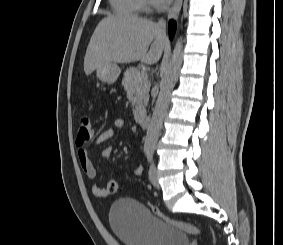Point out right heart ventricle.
Masks as SVG:
<instances>
[{
	"instance_id": "1",
	"label": "right heart ventricle",
	"mask_w": 283,
	"mask_h": 245,
	"mask_svg": "<svg viewBox=\"0 0 283 245\" xmlns=\"http://www.w3.org/2000/svg\"><path fill=\"white\" fill-rule=\"evenodd\" d=\"M113 10L118 14L136 16L140 13L142 0H110Z\"/></svg>"
}]
</instances>
